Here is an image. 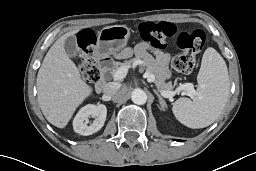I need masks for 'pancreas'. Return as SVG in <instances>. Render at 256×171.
<instances>
[{
  "mask_svg": "<svg viewBox=\"0 0 256 171\" xmlns=\"http://www.w3.org/2000/svg\"><path fill=\"white\" fill-rule=\"evenodd\" d=\"M139 59L143 60V63L140 64L141 70L145 69L149 75H154V83L159 90L169 91L172 89V82H165L166 76L163 69L157 65L154 57L147 52H143L139 57L125 60L123 63L114 62L113 67L108 69V71L113 75L120 67H128L136 63Z\"/></svg>",
  "mask_w": 256,
  "mask_h": 171,
  "instance_id": "cf45deb5",
  "label": "pancreas"
}]
</instances>
